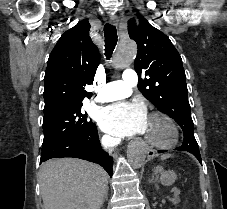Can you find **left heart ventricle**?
Masks as SVG:
<instances>
[{
  "mask_svg": "<svg viewBox=\"0 0 227 209\" xmlns=\"http://www.w3.org/2000/svg\"><path fill=\"white\" fill-rule=\"evenodd\" d=\"M143 138L165 142L171 137V131L168 125L160 119H148L147 125L144 130L140 133Z\"/></svg>",
  "mask_w": 227,
  "mask_h": 209,
  "instance_id": "obj_1",
  "label": "left heart ventricle"
}]
</instances>
